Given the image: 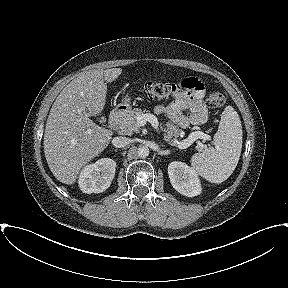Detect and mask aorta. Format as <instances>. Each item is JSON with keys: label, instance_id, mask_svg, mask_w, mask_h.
<instances>
[{"label": "aorta", "instance_id": "1", "mask_svg": "<svg viewBox=\"0 0 288 288\" xmlns=\"http://www.w3.org/2000/svg\"><path fill=\"white\" fill-rule=\"evenodd\" d=\"M137 154L140 158H146L149 155V148L146 146H140Z\"/></svg>", "mask_w": 288, "mask_h": 288}]
</instances>
